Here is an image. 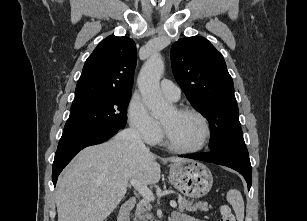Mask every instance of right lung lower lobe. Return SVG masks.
<instances>
[{
    "label": "right lung lower lobe",
    "mask_w": 307,
    "mask_h": 221,
    "mask_svg": "<svg viewBox=\"0 0 307 221\" xmlns=\"http://www.w3.org/2000/svg\"><path fill=\"white\" fill-rule=\"evenodd\" d=\"M118 130L108 133L98 134L85 137L83 139L71 142L69 144L58 147L52 167V181L56 185L57 179L63 168L71 161V159L83 148L95 144H100L115 135Z\"/></svg>",
    "instance_id": "1"
}]
</instances>
